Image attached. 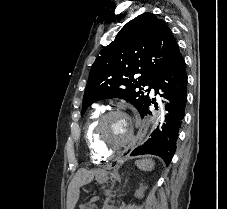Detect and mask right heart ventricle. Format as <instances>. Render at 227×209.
I'll use <instances>...</instances> for the list:
<instances>
[{
    "instance_id": "obj_1",
    "label": "right heart ventricle",
    "mask_w": 227,
    "mask_h": 209,
    "mask_svg": "<svg viewBox=\"0 0 227 209\" xmlns=\"http://www.w3.org/2000/svg\"><path fill=\"white\" fill-rule=\"evenodd\" d=\"M102 113V108H97L92 111L83 127V137L88 147L89 156L91 161L95 164H103L108 162L112 157V155H107L101 152L94 141V126Z\"/></svg>"
}]
</instances>
